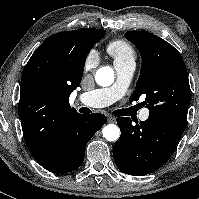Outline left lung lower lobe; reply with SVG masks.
Listing matches in <instances>:
<instances>
[{
	"instance_id": "1",
	"label": "left lung lower lobe",
	"mask_w": 199,
	"mask_h": 199,
	"mask_svg": "<svg viewBox=\"0 0 199 199\" xmlns=\"http://www.w3.org/2000/svg\"><path fill=\"white\" fill-rule=\"evenodd\" d=\"M121 130L114 143L113 157L122 172L144 176L157 171L176 150L185 125L161 115L132 124L129 117L117 118Z\"/></svg>"
}]
</instances>
